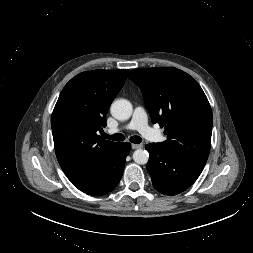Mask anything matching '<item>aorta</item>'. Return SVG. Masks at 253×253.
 Returning <instances> with one entry per match:
<instances>
[{"instance_id": "762f6f07", "label": "aorta", "mask_w": 253, "mask_h": 253, "mask_svg": "<svg viewBox=\"0 0 253 253\" xmlns=\"http://www.w3.org/2000/svg\"><path fill=\"white\" fill-rule=\"evenodd\" d=\"M112 116L120 121L127 120L131 117L133 107L132 104L126 99H118L114 101L110 108ZM149 159V153L143 149H137L133 153V160L137 164H146Z\"/></svg>"}]
</instances>
